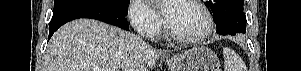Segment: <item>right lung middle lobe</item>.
Returning a JSON list of instances; mask_svg holds the SVG:
<instances>
[{
  "mask_svg": "<svg viewBox=\"0 0 301 71\" xmlns=\"http://www.w3.org/2000/svg\"><path fill=\"white\" fill-rule=\"evenodd\" d=\"M129 0H55L54 11L74 5H91L114 10L119 13H127Z\"/></svg>",
  "mask_w": 301,
  "mask_h": 71,
  "instance_id": "right-lung-middle-lobe-1",
  "label": "right lung middle lobe"
}]
</instances>
